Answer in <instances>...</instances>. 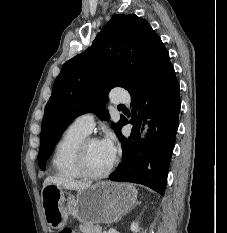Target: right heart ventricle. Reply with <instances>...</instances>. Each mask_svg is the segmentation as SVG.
<instances>
[{"label": "right heart ventricle", "instance_id": "e07e8e85", "mask_svg": "<svg viewBox=\"0 0 227 233\" xmlns=\"http://www.w3.org/2000/svg\"><path fill=\"white\" fill-rule=\"evenodd\" d=\"M87 137V133L70 126L56 144L52 157L55 173L67 180L81 178L75 164L76 152L80 143Z\"/></svg>", "mask_w": 227, "mask_h": 233}]
</instances>
